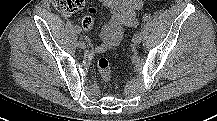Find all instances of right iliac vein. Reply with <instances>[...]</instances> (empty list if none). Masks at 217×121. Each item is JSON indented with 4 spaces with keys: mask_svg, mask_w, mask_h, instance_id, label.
Wrapping results in <instances>:
<instances>
[{
    "mask_svg": "<svg viewBox=\"0 0 217 121\" xmlns=\"http://www.w3.org/2000/svg\"><path fill=\"white\" fill-rule=\"evenodd\" d=\"M78 46H79L81 49H85V48H86V44H85L83 41H79V42H78Z\"/></svg>",
    "mask_w": 217,
    "mask_h": 121,
    "instance_id": "1",
    "label": "right iliac vein"
}]
</instances>
